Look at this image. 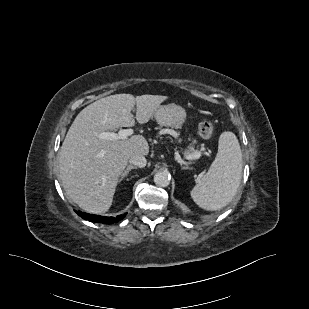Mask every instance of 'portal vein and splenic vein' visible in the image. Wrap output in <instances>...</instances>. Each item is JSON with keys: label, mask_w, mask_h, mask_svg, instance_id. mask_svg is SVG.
<instances>
[{"label": "portal vein and splenic vein", "mask_w": 309, "mask_h": 309, "mask_svg": "<svg viewBox=\"0 0 309 309\" xmlns=\"http://www.w3.org/2000/svg\"><path fill=\"white\" fill-rule=\"evenodd\" d=\"M132 134H133L132 129H122L118 131V133L102 132L99 134V138L106 139V140H124ZM200 157H201V153L195 152L194 154L187 156V159L194 160V159H199Z\"/></svg>", "instance_id": "obj_1"}]
</instances>
